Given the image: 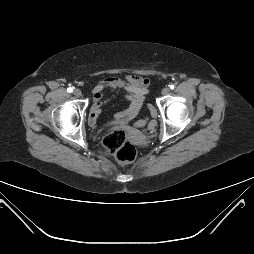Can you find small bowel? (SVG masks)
Segmentation results:
<instances>
[{
  "instance_id": "c3829d8e",
  "label": "small bowel",
  "mask_w": 254,
  "mask_h": 254,
  "mask_svg": "<svg viewBox=\"0 0 254 254\" xmlns=\"http://www.w3.org/2000/svg\"><path fill=\"white\" fill-rule=\"evenodd\" d=\"M150 79L139 75H128L121 79L118 77H107L100 80L92 90V106L89 112V123L92 126L96 125L97 118L101 114L103 108L109 103V99L105 98L107 90L113 92H125V97L130 101V106L127 110L115 114L116 119H132L140 110L145 96L149 91ZM151 117H156V111L153 108L149 109ZM154 121L149 122V128L153 129Z\"/></svg>"
}]
</instances>
